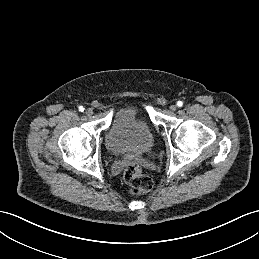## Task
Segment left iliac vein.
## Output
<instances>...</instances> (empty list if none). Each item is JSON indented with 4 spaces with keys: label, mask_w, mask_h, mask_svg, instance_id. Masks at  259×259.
<instances>
[{
    "label": "left iliac vein",
    "mask_w": 259,
    "mask_h": 259,
    "mask_svg": "<svg viewBox=\"0 0 259 259\" xmlns=\"http://www.w3.org/2000/svg\"><path fill=\"white\" fill-rule=\"evenodd\" d=\"M169 109H170L172 112H174V111H176L177 106H176L175 104H172V105L169 107Z\"/></svg>",
    "instance_id": "4c4485c4"
}]
</instances>
